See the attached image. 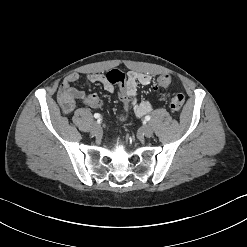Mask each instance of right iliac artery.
<instances>
[{"label": "right iliac artery", "mask_w": 247, "mask_h": 247, "mask_svg": "<svg viewBox=\"0 0 247 247\" xmlns=\"http://www.w3.org/2000/svg\"><path fill=\"white\" fill-rule=\"evenodd\" d=\"M94 117H95L96 119H101V115H100L99 113H95V114H94Z\"/></svg>", "instance_id": "obj_1"}]
</instances>
